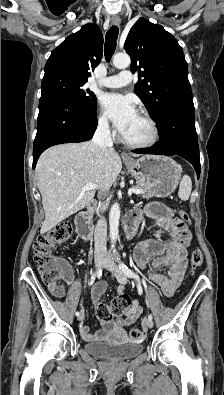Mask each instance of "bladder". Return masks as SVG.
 I'll list each match as a JSON object with an SVG mask.
<instances>
[{"label": "bladder", "instance_id": "obj_1", "mask_svg": "<svg viewBox=\"0 0 224 395\" xmlns=\"http://www.w3.org/2000/svg\"><path fill=\"white\" fill-rule=\"evenodd\" d=\"M85 350L92 355L112 361L131 359L144 350V345L138 341H96L86 343Z\"/></svg>", "mask_w": 224, "mask_h": 395}]
</instances>
